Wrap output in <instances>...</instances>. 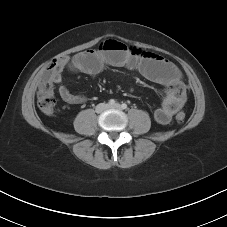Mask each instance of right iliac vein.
<instances>
[{
	"label": "right iliac vein",
	"instance_id": "obj_1",
	"mask_svg": "<svg viewBox=\"0 0 227 227\" xmlns=\"http://www.w3.org/2000/svg\"><path fill=\"white\" fill-rule=\"evenodd\" d=\"M107 108H108V105L102 103V104H99V105L96 107V111H97L98 113H101V112H103L104 110H106Z\"/></svg>",
	"mask_w": 227,
	"mask_h": 227
}]
</instances>
